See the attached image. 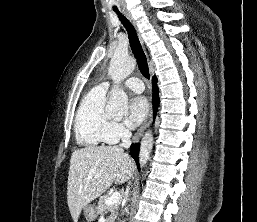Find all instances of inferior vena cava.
I'll return each instance as SVG.
<instances>
[{
    "label": "inferior vena cava",
    "mask_w": 257,
    "mask_h": 222,
    "mask_svg": "<svg viewBox=\"0 0 257 222\" xmlns=\"http://www.w3.org/2000/svg\"><path fill=\"white\" fill-rule=\"evenodd\" d=\"M131 132L127 129H124L123 130V133H122V136H121V144H120V147H124V148H129L130 145H131ZM126 193L128 194L129 193V188H127L126 190Z\"/></svg>",
    "instance_id": "obj_1"
}]
</instances>
